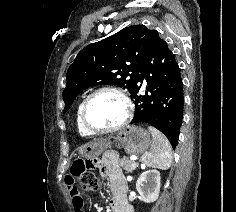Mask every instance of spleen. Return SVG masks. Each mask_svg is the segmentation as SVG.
<instances>
[{"label": "spleen", "instance_id": "obj_1", "mask_svg": "<svg viewBox=\"0 0 236 212\" xmlns=\"http://www.w3.org/2000/svg\"><path fill=\"white\" fill-rule=\"evenodd\" d=\"M153 137L150 152H146L141 161L148 167L167 170L172 163V149L168 139L153 126L148 127Z\"/></svg>", "mask_w": 236, "mask_h": 212}]
</instances>
